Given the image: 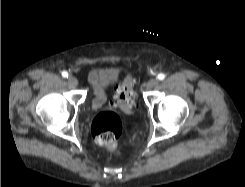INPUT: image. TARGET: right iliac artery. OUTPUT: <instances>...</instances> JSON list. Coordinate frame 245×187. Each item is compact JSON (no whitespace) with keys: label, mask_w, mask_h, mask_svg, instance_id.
Returning <instances> with one entry per match:
<instances>
[{"label":"right iliac artery","mask_w":245,"mask_h":187,"mask_svg":"<svg viewBox=\"0 0 245 187\" xmlns=\"http://www.w3.org/2000/svg\"><path fill=\"white\" fill-rule=\"evenodd\" d=\"M62 76H63L64 78H68V73H67L66 71H63V72H62Z\"/></svg>","instance_id":"82829eb1"}]
</instances>
